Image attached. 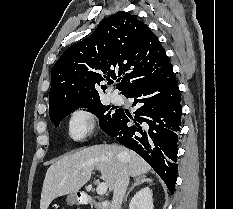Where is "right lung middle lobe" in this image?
Masks as SVG:
<instances>
[{
	"instance_id": "dd1d6c3e",
	"label": "right lung middle lobe",
	"mask_w": 233,
	"mask_h": 209,
	"mask_svg": "<svg viewBox=\"0 0 233 209\" xmlns=\"http://www.w3.org/2000/svg\"><path fill=\"white\" fill-rule=\"evenodd\" d=\"M78 108H88L92 110V113L99 117L100 119V128L103 131L115 120L118 110L115 113L108 111L110 106H104L100 99L94 101H88L83 103H76L58 107L49 113L50 119L55 127H59L61 120L71 111Z\"/></svg>"
}]
</instances>
